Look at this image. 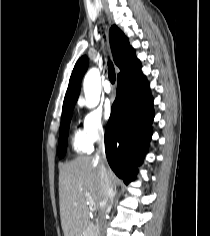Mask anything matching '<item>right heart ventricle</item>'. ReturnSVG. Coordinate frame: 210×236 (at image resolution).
Returning a JSON list of instances; mask_svg holds the SVG:
<instances>
[{
    "mask_svg": "<svg viewBox=\"0 0 210 236\" xmlns=\"http://www.w3.org/2000/svg\"><path fill=\"white\" fill-rule=\"evenodd\" d=\"M72 149L78 154L89 153L92 150V144L87 140L83 130L77 125L73 127L71 134Z\"/></svg>",
    "mask_w": 210,
    "mask_h": 236,
    "instance_id": "1",
    "label": "right heart ventricle"
}]
</instances>
